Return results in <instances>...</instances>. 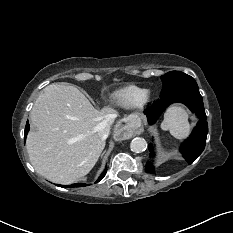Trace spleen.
I'll use <instances>...</instances> for the list:
<instances>
[{
    "mask_svg": "<svg viewBox=\"0 0 233 233\" xmlns=\"http://www.w3.org/2000/svg\"><path fill=\"white\" fill-rule=\"evenodd\" d=\"M161 129L169 131L176 139L186 138L190 132L187 112L180 106H171L164 115Z\"/></svg>",
    "mask_w": 233,
    "mask_h": 233,
    "instance_id": "1",
    "label": "spleen"
}]
</instances>
